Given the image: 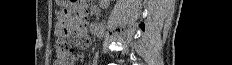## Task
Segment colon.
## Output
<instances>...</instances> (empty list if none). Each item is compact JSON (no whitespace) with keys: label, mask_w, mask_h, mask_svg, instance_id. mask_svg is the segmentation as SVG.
<instances>
[{"label":"colon","mask_w":232,"mask_h":65,"mask_svg":"<svg viewBox=\"0 0 232 65\" xmlns=\"http://www.w3.org/2000/svg\"><path fill=\"white\" fill-rule=\"evenodd\" d=\"M73 51V46L71 43H68V40L58 39L56 42V58L58 61L66 59L71 55Z\"/></svg>","instance_id":"5ec220e1"}]
</instances>
